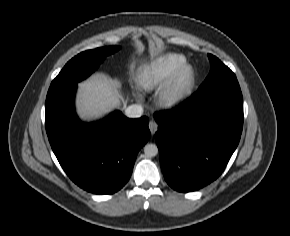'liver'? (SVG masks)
Instances as JSON below:
<instances>
[{"instance_id": "obj_1", "label": "liver", "mask_w": 290, "mask_h": 236, "mask_svg": "<svg viewBox=\"0 0 290 236\" xmlns=\"http://www.w3.org/2000/svg\"><path fill=\"white\" fill-rule=\"evenodd\" d=\"M76 108L83 120H96L126 105L119 91L120 82L103 73L93 74L78 84Z\"/></svg>"}]
</instances>
